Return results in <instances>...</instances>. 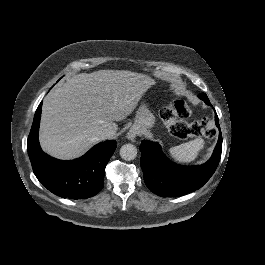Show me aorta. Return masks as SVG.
I'll return each mask as SVG.
<instances>
[{"instance_id":"762f6f07","label":"aorta","mask_w":265,"mask_h":265,"mask_svg":"<svg viewBox=\"0 0 265 265\" xmlns=\"http://www.w3.org/2000/svg\"><path fill=\"white\" fill-rule=\"evenodd\" d=\"M120 156L123 160H133L137 156V148L133 144H124L120 149Z\"/></svg>"}]
</instances>
